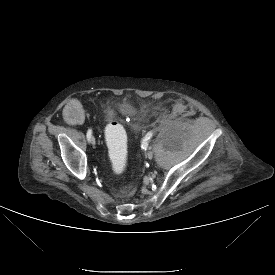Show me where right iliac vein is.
<instances>
[{
    "instance_id": "obj_1",
    "label": "right iliac vein",
    "mask_w": 275,
    "mask_h": 275,
    "mask_svg": "<svg viewBox=\"0 0 275 275\" xmlns=\"http://www.w3.org/2000/svg\"><path fill=\"white\" fill-rule=\"evenodd\" d=\"M90 142H91V144H95L96 143L95 138L93 136H91Z\"/></svg>"
}]
</instances>
